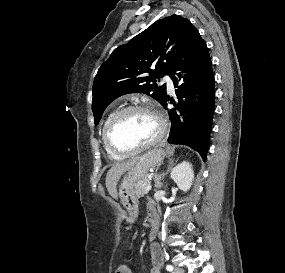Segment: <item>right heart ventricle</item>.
<instances>
[{
  "instance_id": "obj_1",
  "label": "right heart ventricle",
  "mask_w": 285,
  "mask_h": 273,
  "mask_svg": "<svg viewBox=\"0 0 285 273\" xmlns=\"http://www.w3.org/2000/svg\"><path fill=\"white\" fill-rule=\"evenodd\" d=\"M115 113V111H111L109 112L106 117L104 118V121H103V124H102V127H101V141H102V145H103V148L104 150L106 151V153L111 157V158H114V159H123L125 157V155H122V154H119V153H116L114 151H112L106 144L105 142V138H104V132H105V128H106V125L108 123V121L110 120V118L112 117V115Z\"/></svg>"
}]
</instances>
